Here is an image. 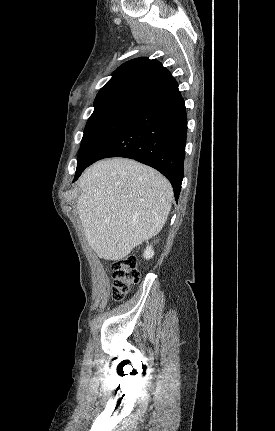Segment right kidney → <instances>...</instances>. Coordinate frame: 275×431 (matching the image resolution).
I'll return each mask as SVG.
<instances>
[{
	"label": "right kidney",
	"mask_w": 275,
	"mask_h": 431,
	"mask_svg": "<svg viewBox=\"0 0 275 431\" xmlns=\"http://www.w3.org/2000/svg\"><path fill=\"white\" fill-rule=\"evenodd\" d=\"M153 255H154V251L152 249V246H147L143 254L144 258L150 259L153 257Z\"/></svg>",
	"instance_id": "right-kidney-1"
}]
</instances>
